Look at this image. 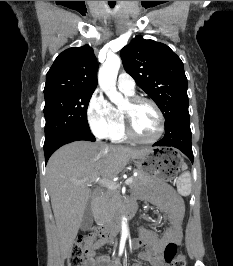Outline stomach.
<instances>
[{
    "label": "stomach",
    "mask_w": 233,
    "mask_h": 266,
    "mask_svg": "<svg viewBox=\"0 0 233 266\" xmlns=\"http://www.w3.org/2000/svg\"><path fill=\"white\" fill-rule=\"evenodd\" d=\"M133 161L138 170L152 180H176L178 167L173 166H183L184 156H181L179 147H154Z\"/></svg>",
    "instance_id": "stomach-1"
}]
</instances>
